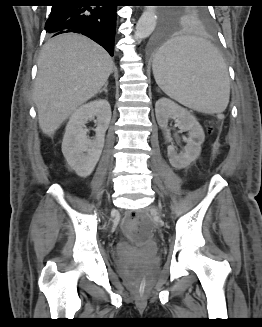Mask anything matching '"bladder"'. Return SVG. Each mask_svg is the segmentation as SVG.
<instances>
[{
	"label": "bladder",
	"mask_w": 262,
	"mask_h": 327,
	"mask_svg": "<svg viewBox=\"0 0 262 327\" xmlns=\"http://www.w3.org/2000/svg\"><path fill=\"white\" fill-rule=\"evenodd\" d=\"M139 260L136 252H129L125 257L121 258L118 262L120 269L131 268Z\"/></svg>",
	"instance_id": "31cf9c89"
}]
</instances>
